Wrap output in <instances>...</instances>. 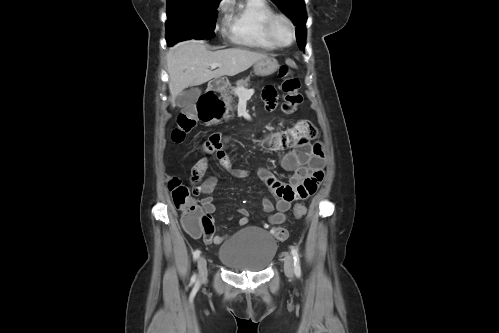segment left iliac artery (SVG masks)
I'll return each mask as SVG.
<instances>
[{
    "instance_id": "1",
    "label": "left iliac artery",
    "mask_w": 499,
    "mask_h": 333,
    "mask_svg": "<svg viewBox=\"0 0 499 333\" xmlns=\"http://www.w3.org/2000/svg\"><path fill=\"white\" fill-rule=\"evenodd\" d=\"M291 254L294 262V272L297 277L301 276V267H300V257L298 250L295 247H291Z\"/></svg>"
}]
</instances>
